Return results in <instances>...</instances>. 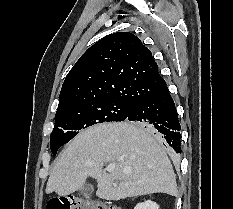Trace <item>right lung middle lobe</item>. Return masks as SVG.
Wrapping results in <instances>:
<instances>
[{
	"label": "right lung middle lobe",
	"mask_w": 233,
	"mask_h": 209,
	"mask_svg": "<svg viewBox=\"0 0 233 209\" xmlns=\"http://www.w3.org/2000/svg\"><path fill=\"white\" fill-rule=\"evenodd\" d=\"M134 106L131 101L107 98L55 115V127L50 135L51 152L56 156L57 150L77 135L78 130L102 122L126 120ZM137 124L152 131L146 124Z\"/></svg>",
	"instance_id": "dd1d6c3e"
}]
</instances>
